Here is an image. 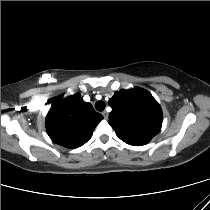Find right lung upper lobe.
<instances>
[{
    "label": "right lung upper lobe",
    "instance_id": "1",
    "mask_svg": "<svg viewBox=\"0 0 210 210\" xmlns=\"http://www.w3.org/2000/svg\"><path fill=\"white\" fill-rule=\"evenodd\" d=\"M102 119L90 103L75 94L52 105L46 117V129L53 142L74 149L91 138Z\"/></svg>",
    "mask_w": 210,
    "mask_h": 210
}]
</instances>
